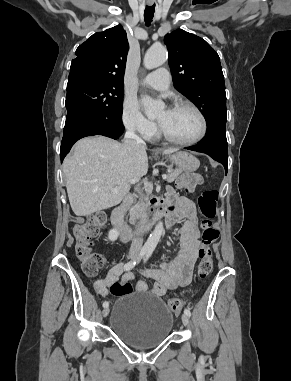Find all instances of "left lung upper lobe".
Returning a JSON list of instances; mask_svg holds the SVG:
<instances>
[{"label": "left lung upper lobe", "mask_w": 291, "mask_h": 381, "mask_svg": "<svg viewBox=\"0 0 291 381\" xmlns=\"http://www.w3.org/2000/svg\"><path fill=\"white\" fill-rule=\"evenodd\" d=\"M175 88L204 115L207 134H225L226 93L220 59L202 38L178 29L165 35Z\"/></svg>", "instance_id": "1"}]
</instances>
